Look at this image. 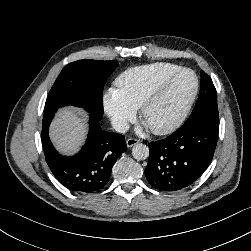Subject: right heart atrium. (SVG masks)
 Here are the masks:
<instances>
[{"label":"right heart atrium","mask_w":251,"mask_h":251,"mask_svg":"<svg viewBox=\"0 0 251 251\" xmlns=\"http://www.w3.org/2000/svg\"><path fill=\"white\" fill-rule=\"evenodd\" d=\"M103 108L114 128L120 132L127 128L136 114V110L129 106L115 89L105 92Z\"/></svg>","instance_id":"d8ad5b80"}]
</instances>
